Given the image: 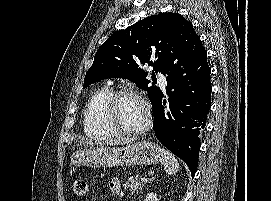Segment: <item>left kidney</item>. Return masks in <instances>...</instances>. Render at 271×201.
I'll return each instance as SVG.
<instances>
[{"instance_id": "5707ae66", "label": "left kidney", "mask_w": 271, "mask_h": 201, "mask_svg": "<svg viewBox=\"0 0 271 201\" xmlns=\"http://www.w3.org/2000/svg\"><path fill=\"white\" fill-rule=\"evenodd\" d=\"M144 201H160L158 198H157V194L154 193V192H150L147 194L146 198Z\"/></svg>"}]
</instances>
